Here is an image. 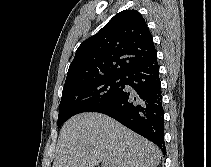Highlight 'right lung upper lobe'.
I'll use <instances>...</instances> for the list:
<instances>
[{"label": "right lung upper lobe", "mask_w": 211, "mask_h": 167, "mask_svg": "<svg viewBox=\"0 0 211 167\" xmlns=\"http://www.w3.org/2000/svg\"><path fill=\"white\" fill-rule=\"evenodd\" d=\"M156 55L142 15L123 10L78 47L63 88L104 76H124Z\"/></svg>", "instance_id": "cb5924a9"}]
</instances>
